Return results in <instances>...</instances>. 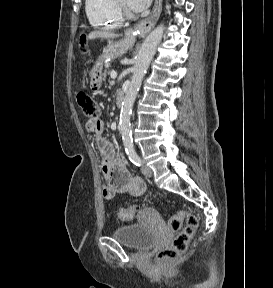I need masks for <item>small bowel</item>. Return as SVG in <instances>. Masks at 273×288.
Instances as JSON below:
<instances>
[{
	"label": "small bowel",
	"mask_w": 273,
	"mask_h": 288,
	"mask_svg": "<svg viewBox=\"0 0 273 288\" xmlns=\"http://www.w3.org/2000/svg\"><path fill=\"white\" fill-rule=\"evenodd\" d=\"M88 132H93L102 158V173L107 183L102 195L110 200L117 194L141 196L146 190L142 178L129 173L121 158L116 154L113 145L107 139L104 124L97 118H89L85 124Z\"/></svg>",
	"instance_id": "obj_1"
}]
</instances>
